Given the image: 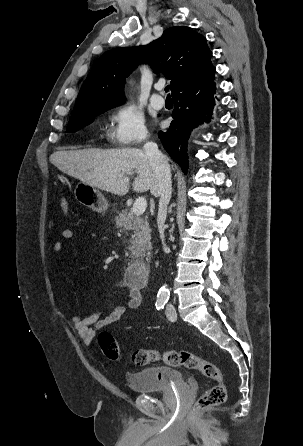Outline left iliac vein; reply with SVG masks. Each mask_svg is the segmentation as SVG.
I'll return each mask as SVG.
<instances>
[{
    "label": "left iliac vein",
    "mask_w": 303,
    "mask_h": 446,
    "mask_svg": "<svg viewBox=\"0 0 303 446\" xmlns=\"http://www.w3.org/2000/svg\"><path fill=\"white\" fill-rule=\"evenodd\" d=\"M166 316L170 321H175L177 319V313L176 310L174 308V306L172 305H168L166 307Z\"/></svg>",
    "instance_id": "1"
}]
</instances>
